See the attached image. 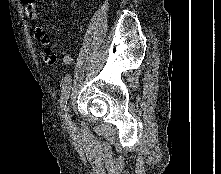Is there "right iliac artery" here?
Listing matches in <instances>:
<instances>
[{
    "instance_id": "obj_1",
    "label": "right iliac artery",
    "mask_w": 221,
    "mask_h": 174,
    "mask_svg": "<svg viewBox=\"0 0 221 174\" xmlns=\"http://www.w3.org/2000/svg\"><path fill=\"white\" fill-rule=\"evenodd\" d=\"M70 85H71V75L67 74L64 77L63 86H62L61 107L63 110H65L69 98L70 87H71Z\"/></svg>"
}]
</instances>
